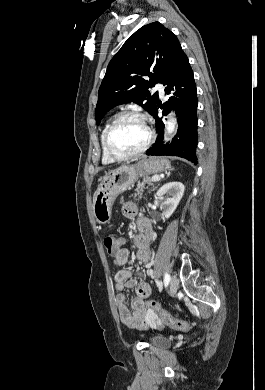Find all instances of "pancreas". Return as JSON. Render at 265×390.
<instances>
[{"label":"pancreas","mask_w":265,"mask_h":390,"mask_svg":"<svg viewBox=\"0 0 265 390\" xmlns=\"http://www.w3.org/2000/svg\"><path fill=\"white\" fill-rule=\"evenodd\" d=\"M146 183L149 184V185H151V184H152V178H150V177H145V178H143V181H142V182L138 183L137 188L135 189V191H136L135 197H136L137 195H139V194L143 191L144 186H145Z\"/></svg>","instance_id":"pancreas-1"}]
</instances>
